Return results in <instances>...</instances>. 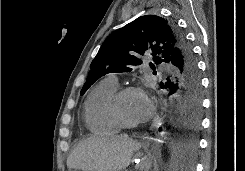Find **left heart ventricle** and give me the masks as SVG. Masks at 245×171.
Listing matches in <instances>:
<instances>
[{"label": "left heart ventricle", "instance_id": "obj_1", "mask_svg": "<svg viewBox=\"0 0 245 171\" xmlns=\"http://www.w3.org/2000/svg\"><path fill=\"white\" fill-rule=\"evenodd\" d=\"M144 101V96L140 94H128L120 102V112L122 117L131 123H139L140 111Z\"/></svg>", "mask_w": 245, "mask_h": 171}]
</instances>
